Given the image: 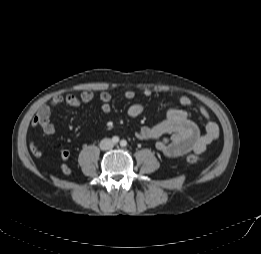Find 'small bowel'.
Returning <instances> with one entry per match:
<instances>
[{"instance_id":"1","label":"small bowel","mask_w":261,"mask_h":254,"mask_svg":"<svg viewBox=\"0 0 261 254\" xmlns=\"http://www.w3.org/2000/svg\"><path fill=\"white\" fill-rule=\"evenodd\" d=\"M95 94L91 91H84L79 96L76 95H57L45 105H42L32 120L33 127H41L47 135L55 133V126L50 120L53 107L65 105L67 107H77L82 104L90 103L94 100ZM143 96L146 99L151 98L152 92L145 90ZM124 97L128 100L135 98L133 90H126ZM112 96L109 92H101L99 100L101 102V110L108 115L111 112ZM178 102L185 109L170 108L167 111V117L160 123L153 126H145L136 132V137L140 140L156 141V149L166 157H180L192 152L195 154L203 153L207 147L219 137V126L211 119L208 111L202 107L195 105L188 97H180ZM145 107L141 103H135L129 106L127 113L130 117L136 118L140 116ZM192 116H198L204 121L205 132L200 133L196 123L192 120ZM31 153L39 157L42 154L41 149L35 142L30 143ZM60 158L66 162L70 153L65 148L59 150ZM63 173L68 175L71 173L70 168L63 165Z\"/></svg>"}]
</instances>
